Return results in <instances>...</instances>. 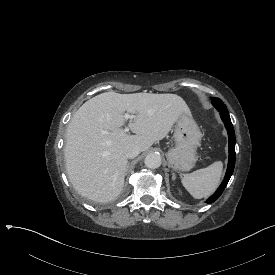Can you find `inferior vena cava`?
<instances>
[{
    "instance_id": "602c4592",
    "label": "inferior vena cava",
    "mask_w": 275,
    "mask_h": 275,
    "mask_svg": "<svg viewBox=\"0 0 275 275\" xmlns=\"http://www.w3.org/2000/svg\"><path fill=\"white\" fill-rule=\"evenodd\" d=\"M140 147L136 144H128L124 148V154L127 158H135L140 154Z\"/></svg>"
}]
</instances>
